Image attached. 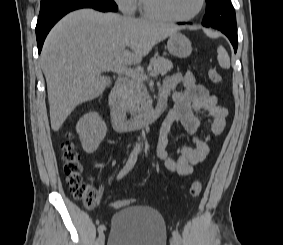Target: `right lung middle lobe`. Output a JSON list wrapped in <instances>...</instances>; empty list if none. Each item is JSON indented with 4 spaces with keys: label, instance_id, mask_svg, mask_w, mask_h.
<instances>
[{
    "label": "right lung middle lobe",
    "instance_id": "right-lung-middle-lobe-1",
    "mask_svg": "<svg viewBox=\"0 0 283 245\" xmlns=\"http://www.w3.org/2000/svg\"><path fill=\"white\" fill-rule=\"evenodd\" d=\"M69 0H41L40 9L46 8L48 6H52L58 3L66 2Z\"/></svg>",
    "mask_w": 283,
    "mask_h": 245
}]
</instances>
